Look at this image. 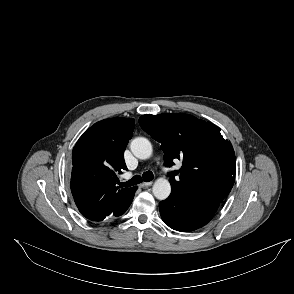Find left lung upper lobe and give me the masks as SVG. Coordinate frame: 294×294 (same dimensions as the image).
Wrapping results in <instances>:
<instances>
[{"instance_id": "1", "label": "left lung upper lobe", "mask_w": 294, "mask_h": 294, "mask_svg": "<svg viewBox=\"0 0 294 294\" xmlns=\"http://www.w3.org/2000/svg\"><path fill=\"white\" fill-rule=\"evenodd\" d=\"M139 124L161 143L166 166L183 160L181 169L169 174L172 192L210 205L221 203L233 187L236 161L219 127L184 113L143 115Z\"/></svg>"}]
</instances>
